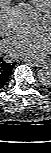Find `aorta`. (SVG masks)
Instances as JSON below:
<instances>
[{
	"label": "aorta",
	"mask_w": 51,
	"mask_h": 153,
	"mask_svg": "<svg viewBox=\"0 0 51 153\" xmlns=\"http://www.w3.org/2000/svg\"><path fill=\"white\" fill-rule=\"evenodd\" d=\"M10 27L17 33L31 34L36 32L41 23L40 13L30 4L20 3L14 6L8 15ZM39 82L44 86L51 85V68L43 67L38 71Z\"/></svg>",
	"instance_id": "1"
}]
</instances>
